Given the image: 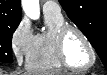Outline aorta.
Returning <instances> with one entry per match:
<instances>
[{"label": "aorta", "mask_w": 107, "mask_h": 75, "mask_svg": "<svg viewBox=\"0 0 107 75\" xmlns=\"http://www.w3.org/2000/svg\"><path fill=\"white\" fill-rule=\"evenodd\" d=\"M22 7L29 18L33 20L39 18V0H23Z\"/></svg>", "instance_id": "aorta-1"}]
</instances>
